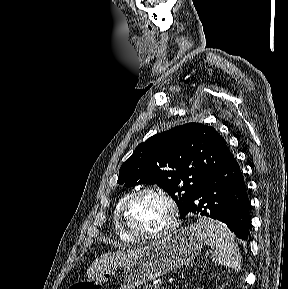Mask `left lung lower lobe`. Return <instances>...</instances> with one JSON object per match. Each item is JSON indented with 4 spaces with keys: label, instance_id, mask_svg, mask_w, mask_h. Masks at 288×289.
Masks as SVG:
<instances>
[{
    "label": "left lung lower lobe",
    "instance_id": "obj_1",
    "mask_svg": "<svg viewBox=\"0 0 288 289\" xmlns=\"http://www.w3.org/2000/svg\"><path fill=\"white\" fill-rule=\"evenodd\" d=\"M247 188L239 164L229 151L227 157L206 181L187 209L180 215L199 213L227 225L235 235L247 240L250 215Z\"/></svg>",
    "mask_w": 288,
    "mask_h": 289
}]
</instances>
